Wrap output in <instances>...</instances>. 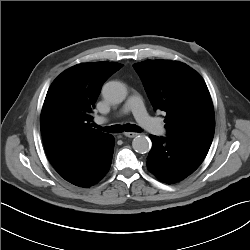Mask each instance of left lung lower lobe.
<instances>
[{
  "instance_id": "0a47b994",
  "label": "left lung lower lobe",
  "mask_w": 250,
  "mask_h": 250,
  "mask_svg": "<svg viewBox=\"0 0 250 250\" xmlns=\"http://www.w3.org/2000/svg\"><path fill=\"white\" fill-rule=\"evenodd\" d=\"M153 146L147 157V168L168 184L183 180L203 162L210 141L149 136Z\"/></svg>"
}]
</instances>
